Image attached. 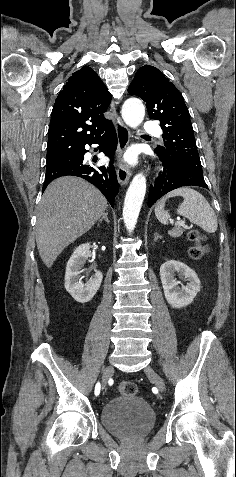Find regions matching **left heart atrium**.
<instances>
[{"mask_svg":"<svg viewBox=\"0 0 236 477\" xmlns=\"http://www.w3.org/2000/svg\"><path fill=\"white\" fill-rule=\"evenodd\" d=\"M125 159L128 161V162H133L134 161V156L132 154H128Z\"/></svg>","mask_w":236,"mask_h":477,"instance_id":"1","label":"left heart atrium"}]
</instances>
